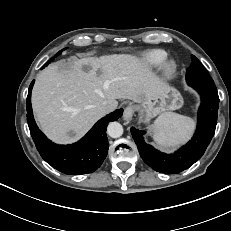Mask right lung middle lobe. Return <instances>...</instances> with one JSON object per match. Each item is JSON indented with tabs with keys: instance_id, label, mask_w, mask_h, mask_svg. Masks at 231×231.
Listing matches in <instances>:
<instances>
[{
	"instance_id": "obj_1",
	"label": "right lung middle lobe",
	"mask_w": 231,
	"mask_h": 231,
	"mask_svg": "<svg viewBox=\"0 0 231 231\" xmlns=\"http://www.w3.org/2000/svg\"><path fill=\"white\" fill-rule=\"evenodd\" d=\"M63 50L59 51L54 57H52L42 68L46 67L49 63H51L58 55L62 53Z\"/></svg>"
}]
</instances>
